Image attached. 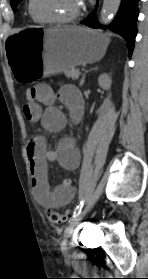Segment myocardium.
Returning <instances> with one entry per match:
<instances>
[{
  "instance_id": "1",
  "label": "myocardium",
  "mask_w": 148,
  "mask_h": 279,
  "mask_svg": "<svg viewBox=\"0 0 148 279\" xmlns=\"http://www.w3.org/2000/svg\"><path fill=\"white\" fill-rule=\"evenodd\" d=\"M34 2H35V0H29V12H30L31 16L35 20L42 22V23H47V24L63 25V24H69V23L76 22L83 16L85 9H86V5H85L84 1L82 0L80 9L73 15H71L69 17H64V18H48V17H41L35 12Z\"/></svg>"
}]
</instances>
